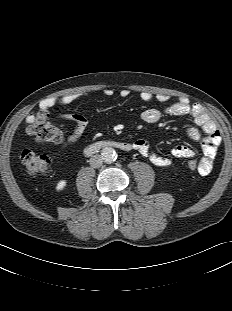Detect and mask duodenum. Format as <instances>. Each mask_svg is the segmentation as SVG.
<instances>
[{
  "mask_svg": "<svg viewBox=\"0 0 232 311\" xmlns=\"http://www.w3.org/2000/svg\"><path fill=\"white\" fill-rule=\"evenodd\" d=\"M105 148H114L121 151H131L133 149V144L111 139L100 140L95 143L87 145L84 149V153L86 155H93Z\"/></svg>",
  "mask_w": 232,
  "mask_h": 311,
  "instance_id": "1",
  "label": "duodenum"
}]
</instances>
